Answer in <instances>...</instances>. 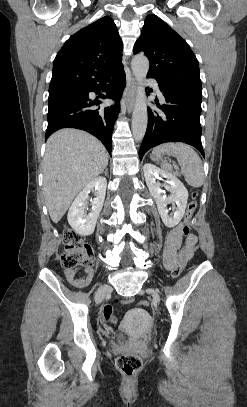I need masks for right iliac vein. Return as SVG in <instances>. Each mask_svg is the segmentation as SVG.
I'll return each mask as SVG.
<instances>
[{
  "label": "right iliac vein",
  "instance_id": "right-iliac-vein-1",
  "mask_svg": "<svg viewBox=\"0 0 247 407\" xmlns=\"http://www.w3.org/2000/svg\"><path fill=\"white\" fill-rule=\"evenodd\" d=\"M110 290H111V287L109 285H107V284L101 285L96 292V296H95L96 302L100 303L103 300L105 294L107 292H109Z\"/></svg>",
  "mask_w": 247,
  "mask_h": 407
}]
</instances>
